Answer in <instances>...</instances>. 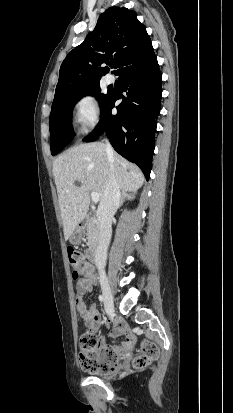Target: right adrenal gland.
<instances>
[{"instance_id":"1","label":"right adrenal gland","mask_w":233,"mask_h":413,"mask_svg":"<svg viewBox=\"0 0 233 413\" xmlns=\"http://www.w3.org/2000/svg\"><path fill=\"white\" fill-rule=\"evenodd\" d=\"M136 192H129L123 190L121 193V198H120V207L126 200H134L135 199Z\"/></svg>"}]
</instances>
